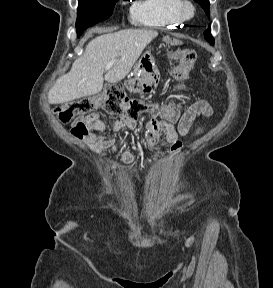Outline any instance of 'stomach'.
I'll return each instance as SVG.
<instances>
[{"label":"stomach","mask_w":273,"mask_h":288,"mask_svg":"<svg viewBox=\"0 0 273 288\" xmlns=\"http://www.w3.org/2000/svg\"><path fill=\"white\" fill-rule=\"evenodd\" d=\"M165 42H170L169 37L164 38ZM135 78L129 79L124 84L126 88L133 93L148 94L152 93L156 88L155 59L151 51H146L134 67Z\"/></svg>","instance_id":"1"}]
</instances>
